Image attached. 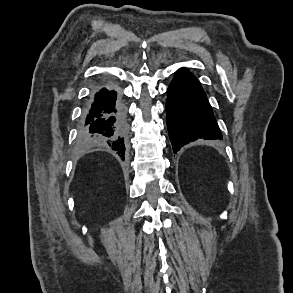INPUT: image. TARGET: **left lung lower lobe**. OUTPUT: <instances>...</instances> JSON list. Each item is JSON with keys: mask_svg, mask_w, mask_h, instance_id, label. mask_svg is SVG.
<instances>
[{"mask_svg": "<svg viewBox=\"0 0 293 293\" xmlns=\"http://www.w3.org/2000/svg\"><path fill=\"white\" fill-rule=\"evenodd\" d=\"M166 112L174 153L199 138H223L200 82L186 68L175 73L168 87Z\"/></svg>", "mask_w": 293, "mask_h": 293, "instance_id": "obj_1", "label": "left lung lower lobe"}]
</instances>
